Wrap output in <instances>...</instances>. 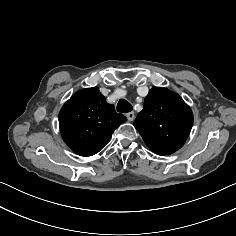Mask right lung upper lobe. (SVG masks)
<instances>
[{
    "label": "right lung upper lobe",
    "instance_id": "right-lung-upper-lobe-1",
    "mask_svg": "<svg viewBox=\"0 0 236 236\" xmlns=\"http://www.w3.org/2000/svg\"><path fill=\"white\" fill-rule=\"evenodd\" d=\"M127 118L116 113L97 87L75 93L59 113L61 135L69 148L80 156L98 153L114 130Z\"/></svg>",
    "mask_w": 236,
    "mask_h": 236
}]
</instances>
